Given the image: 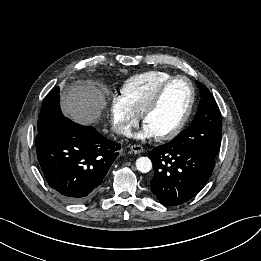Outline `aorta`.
I'll use <instances>...</instances> for the list:
<instances>
[{
  "label": "aorta",
  "mask_w": 261,
  "mask_h": 261,
  "mask_svg": "<svg viewBox=\"0 0 261 261\" xmlns=\"http://www.w3.org/2000/svg\"><path fill=\"white\" fill-rule=\"evenodd\" d=\"M136 168L142 173H147L152 168V162L148 157H140L136 160Z\"/></svg>",
  "instance_id": "1"
}]
</instances>
